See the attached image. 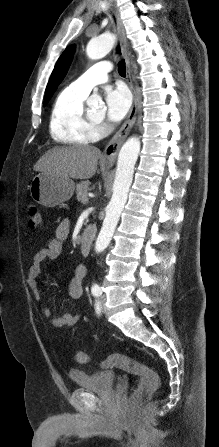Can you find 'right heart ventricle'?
Wrapping results in <instances>:
<instances>
[{
    "instance_id": "1",
    "label": "right heart ventricle",
    "mask_w": 219,
    "mask_h": 447,
    "mask_svg": "<svg viewBox=\"0 0 219 447\" xmlns=\"http://www.w3.org/2000/svg\"><path fill=\"white\" fill-rule=\"evenodd\" d=\"M85 99L69 86L57 95L50 115V134L56 142L83 145L99 137V131L85 119Z\"/></svg>"
}]
</instances>
